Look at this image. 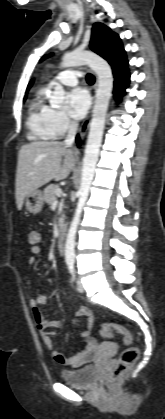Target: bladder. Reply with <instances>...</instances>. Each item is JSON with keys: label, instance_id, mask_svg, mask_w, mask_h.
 Masks as SVG:
<instances>
[{"label": "bladder", "instance_id": "bladder-1", "mask_svg": "<svg viewBox=\"0 0 165 419\" xmlns=\"http://www.w3.org/2000/svg\"><path fill=\"white\" fill-rule=\"evenodd\" d=\"M62 380L74 388H91L98 381V370L95 365H88L79 369L62 371Z\"/></svg>", "mask_w": 165, "mask_h": 419}]
</instances>
